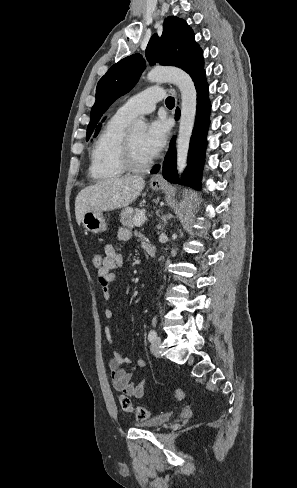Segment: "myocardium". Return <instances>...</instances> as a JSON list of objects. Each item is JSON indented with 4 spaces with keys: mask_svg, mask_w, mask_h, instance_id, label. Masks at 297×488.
Here are the masks:
<instances>
[{
    "mask_svg": "<svg viewBox=\"0 0 297 488\" xmlns=\"http://www.w3.org/2000/svg\"><path fill=\"white\" fill-rule=\"evenodd\" d=\"M122 165L127 171L143 172L150 168L153 159H149L145 163H138L134 159L133 148L129 136H125L122 148Z\"/></svg>",
    "mask_w": 297,
    "mask_h": 488,
    "instance_id": "myocardium-1",
    "label": "myocardium"
}]
</instances>
